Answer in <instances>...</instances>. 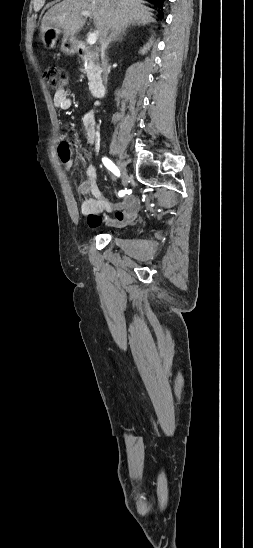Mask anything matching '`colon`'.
Segmentation results:
<instances>
[{
	"mask_svg": "<svg viewBox=\"0 0 253 548\" xmlns=\"http://www.w3.org/2000/svg\"><path fill=\"white\" fill-rule=\"evenodd\" d=\"M44 76L48 87L55 92L62 90L68 83L67 72L58 65H49L45 69ZM60 151L66 157L70 155L69 146L66 142L61 144Z\"/></svg>",
	"mask_w": 253,
	"mask_h": 548,
	"instance_id": "1",
	"label": "colon"
}]
</instances>
